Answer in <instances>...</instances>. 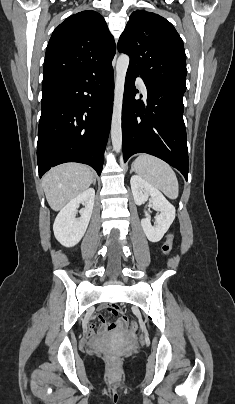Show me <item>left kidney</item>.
<instances>
[{"mask_svg":"<svg viewBox=\"0 0 235 404\" xmlns=\"http://www.w3.org/2000/svg\"><path fill=\"white\" fill-rule=\"evenodd\" d=\"M130 184L134 201L137 205L147 201L150 196L153 206L160 212L155 217L154 226L151 225V218L147 212H145V218L141 220V226L147 239L154 243L160 241L175 219V207L169 203L157 188L140 176L133 175Z\"/></svg>","mask_w":235,"mask_h":404,"instance_id":"1","label":"left kidney"}]
</instances>
